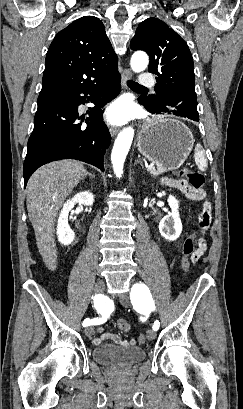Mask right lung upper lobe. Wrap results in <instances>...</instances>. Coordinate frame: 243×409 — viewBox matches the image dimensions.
<instances>
[{"label": "right lung upper lobe", "instance_id": "cb5924a9", "mask_svg": "<svg viewBox=\"0 0 243 409\" xmlns=\"http://www.w3.org/2000/svg\"><path fill=\"white\" fill-rule=\"evenodd\" d=\"M117 65L102 21L94 16L81 17L54 37L39 95L96 84L118 72Z\"/></svg>", "mask_w": 243, "mask_h": 409}]
</instances>
